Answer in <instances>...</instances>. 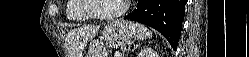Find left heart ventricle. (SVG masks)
I'll return each mask as SVG.
<instances>
[{"instance_id": "1", "label": "left heart ventricle", "mask_w": 249, "mask_h": 57, "mask_svg": "<svg viewBox=\"0 0 249 57\" xmlns=\"http://www.w3.org/2000/svg\"><path fill=\"white\" fill-rule=\"evenodd\" d=\"M123 0H92L91 10L99 14H111L121 9Z\"/></svg>"}]
</instances>
